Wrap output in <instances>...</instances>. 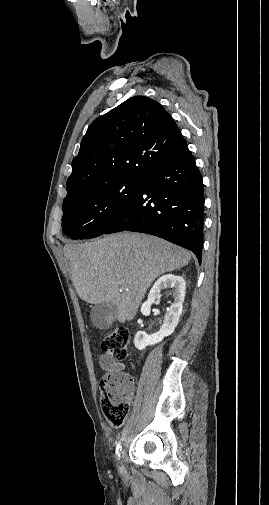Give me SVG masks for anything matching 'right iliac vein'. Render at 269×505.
<instances>
[{
  "label": "right iliac vein",
  "instance_id": "right-iliac-vein-1",
  "mask_svg": "<svg viewBox=\"0 0 269 505\" xmlns=\"http://www.w3.org/2000/svg\"><path fill=\"white\" fill-rule=\"evenodd\" d=\"M119 458H121V456H120V455H119ZM118 468H119V471H120L121 473H124V466H123V464H122V461H120V460L118 461Z\"/></svg>",
  "mask_w": 269,
  "mask_h": 505
}]
</instances>
